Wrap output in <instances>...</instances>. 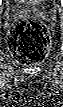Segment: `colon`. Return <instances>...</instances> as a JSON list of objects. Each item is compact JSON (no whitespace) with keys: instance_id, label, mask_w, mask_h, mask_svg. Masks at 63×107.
Listing matches in <instances>:
<instances>
[{"instance_id":"5ec220e1","label":"colon","mask_w":63,"mask_h":107,"mask_svg":"<svg viewBox=\"0 0 63 107\" xmlns=\"http://www.w3.org/2000/svg\"><path fill=\"white\" fill-rule=\"evenodd\" d=\"M50 45L46 26L36 20L25 19L17 23L9 35V47L22 63L39 62L45 58Z\"/></svg>"}]
</instances>
